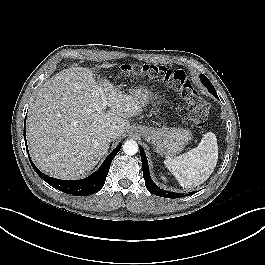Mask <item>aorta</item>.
<instances>
[{
    "instance_id": "aorta-1",
    "label": "aorta",
    "mask_w": 265,
    "mask_h": 265,
    "mask_svg": "<svg viewBox=\"0 0 265 265\" xmlns=\"http://www.w3.org/2000/svg\"><path fill=\"white\" fill-rule=\"evenodd\" d=\"M123 151L127 155H134L138 152V144L134 140H127L123 144Z\"/></svg>"
}]
</instances>
